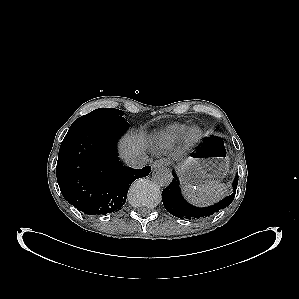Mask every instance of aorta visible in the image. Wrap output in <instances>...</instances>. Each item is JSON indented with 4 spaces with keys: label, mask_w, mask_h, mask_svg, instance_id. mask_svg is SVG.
I'll list each match as a JSON object with an SVG mask.
<instances>
[{
    "label": "aorta",
    "mask_w": 299,
    "mask_h": 299,
    "mask_svg": "<svg viewBox=\"0 0 299 299\" xmlns=\"http://www.w3.org/2000/svg\"><path fill=\"white\" fill-rule=\"evenodd\" d=\"M172 178L171 171L166 167L157 169L152 173L153 181L163 187L168 186L171 183Z\"/></svg>",
    "instance_id": "762f6f07"
}]
</instances>
